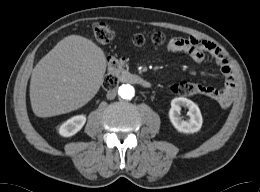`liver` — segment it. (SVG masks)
Returning <instances> with one entry per match:
<instances>
[{"instance_id": "6515ba94", "label": "liver", "mask_w": 260, "mask_h": 192, "mask_svg": "<svg viewBox=\"0 0 260 192\" xmlns=\"http://www.w3.org/2000/svg\"><path fill=\"white\" fill-rule=\"evenodd\" d=\"M107 60L93 41L69 35L34 67L30 101L34 114L51 117L87 104L99 91Z\"/></svg>"}]
</instances>
